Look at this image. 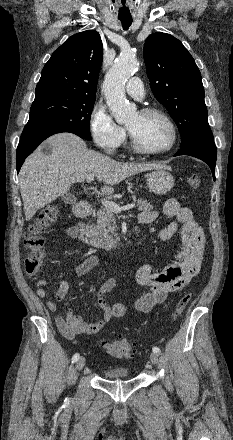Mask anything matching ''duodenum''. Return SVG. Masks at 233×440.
<instances>
[{"instance_id":"1","label":"duodenum","mask_w":233,"mask_h":440,"mask_svg":"<svg viewBox=\"0 0 233 440\" xmlns=\"http://www.w3.org/2000/svg\"><path fill=\"white\" fill-rule=\"evenodd\" d=\"M74 213L78 218L84 219L93 215L94 208L86 201H79L74 206ZM76 235L82 243L92 247L116 249L125 244V240L121 238L107 239L98 237L84 222H78L76 224Z\"/></svg>"}]
</instances>
